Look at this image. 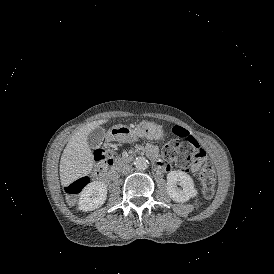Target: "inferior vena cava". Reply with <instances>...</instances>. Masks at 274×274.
Here are the masks:
<instances>
[{
	"label": "inferior vena cava",
	"mask_w": 274,
	"mask_h": 274,
	"mask_svg": "<svg viewBox=\"0 0 274 274\" xmlns=\"http://www.w3.org/2000/svg\"><path fill=\"white\" fill-rule=\"evenodd\" d=\"M132 171V166L130 164H124L120 167L119 172L126 174Z\"/></svg>",
	"instance_id": "602c4592"
}]
</instances>
